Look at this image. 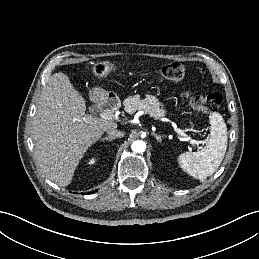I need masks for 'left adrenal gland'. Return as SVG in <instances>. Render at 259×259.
I'll return each mask as SVG.
<instances>
[{"label": "left adrenal gland", "instance_id": "left-adrenal-gland-1", "mask_svg": "<svg viewBox=\"0 0 259 259\" xmlns=\"http://www.w3.org/2000/svg\"><path fill=\"white\" fill-rule=\"evenodd\" d=\"M152 135L156 138V140L158 141V142H160L161 143V141H162V137H165L164 135L163 136H161V135H158V134H156V133H152Z\"/></svg>", "mask_w": 259, "mask_h": 259}]
</instances>
